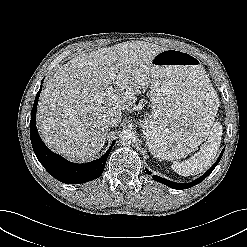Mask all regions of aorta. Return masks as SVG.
<instances>
[{
    "label": "aorta",
    "instance_id": "1",
    "mask_svg": "<svg viewBox=\"0 0 247 247\" xmlns=\"http://www.w3.org/2000/svg\"><path fill=\"white\" fill-rule=\"evenodd\" d=\"M119 141L122 145H131L136 141V135L131 130H123L119 135Z\"/></svg>",
    "mask_w": 247,
    "mask_h": 247
}]
</instances>
